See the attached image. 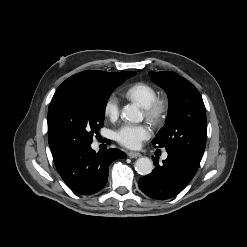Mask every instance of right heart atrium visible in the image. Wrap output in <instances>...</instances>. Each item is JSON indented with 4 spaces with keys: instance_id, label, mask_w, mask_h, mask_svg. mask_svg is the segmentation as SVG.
Wrapping results in <instances>:
<instances>
[{
    "instance_id": "1",
    "label": "right heart atrium",
    "mask_w": 247,
    "mask_h": 247,
    "mask_svg": "<svg viewBox=\"0 0 247 247\" xmlns=\"http://www.w3.org/2000/svg\"><path fill=\"white\" fill-rule=\"evenodd\" d=\"M103 113L109 120H116L119 116V102L115 96H109L103 106Z\"/></svg>"
}]
</instances>
